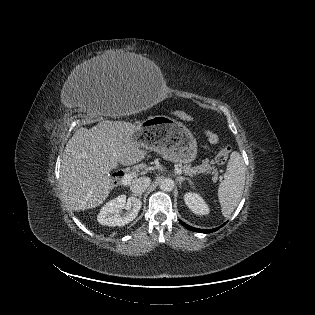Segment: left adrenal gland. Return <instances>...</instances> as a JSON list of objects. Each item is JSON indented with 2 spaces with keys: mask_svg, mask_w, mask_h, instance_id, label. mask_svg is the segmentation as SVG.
Wrapping results in <instances>:
<instances>
[{
  "mask_svg": "<svg viewBox=\"0 0 315 315\" xmlns=\"http://www.w3.org/2000/svg\"><path fill=\"white\" fill-rule=\"evenodd\" d=\"M187 180L190 184H192V181L189 178H185L182 176H177V181L179 182V184H181L182 181Z\"/></svg>",
  "mask_w": 315,
  "mask_h": 315,
  "instance_id": "left-adrenal-gland-1",
  "label": "left adrenal gland"
}]
</instances>
